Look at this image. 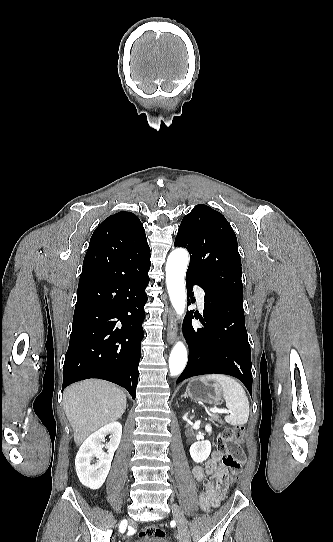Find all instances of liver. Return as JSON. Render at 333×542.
Wrapping results in <instances>:
<instances>
[{"label":"liver","instance_id":"liver-1","mask_svg":"<svg viewBox=\"0 0 333 542\" xmlns=\"http://www.w3.org/2000/svg\"><path fill=\"white\" fill-rule=\"evenodd\" d=\"M64 412L74 432L76 446L102 426L119 420L126 410V396L115 384L84 380L66 388Z\"/></svg>","mask_w":333,"mask_h":542}]
</instances>
